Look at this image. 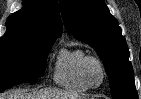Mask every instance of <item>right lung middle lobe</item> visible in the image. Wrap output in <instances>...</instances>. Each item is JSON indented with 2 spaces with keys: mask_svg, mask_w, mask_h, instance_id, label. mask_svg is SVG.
<instances>
[{
  "mask_svg": "<svg viewBox=\"0 0 141 99\" xmlns=\"http://www.w3.org/2000/svg\"><path fill=\"white\" fill-rule=\"evenodd\" d=\"M52 45L30 39L1 38L0 92L41 77Z\"/></svg>",
  "mask_w": 141,
  "mask_h": 99,
  "instance_id": "1",
  "label": "right lung middle lobe"
}]
</instances>
